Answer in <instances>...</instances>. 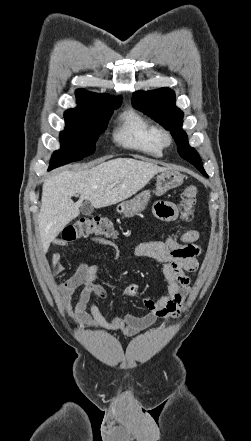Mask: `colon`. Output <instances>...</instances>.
Wrapping results in <instances>:
<instances>
[{
	"label": "colon",
	"mask_w": 251,
	"mask_h": 441,
	"mask_svg": "<svg viewBox=\"0 0 251 441\" xmlns=\"http://www.w3.org/2000/svg\"><path fill=\"white\" fill-rule=\"evenodd\" d=\"M197 196L198 189L195 185H189L182 191L179 202V216L182 221L192 219ZM89 237L113 239L117 237V230L106 218L88 217L77 220L63 232V240L66 242Z\"/></svg>",
	"instance_id": "obj_1"
}]
</instances>
